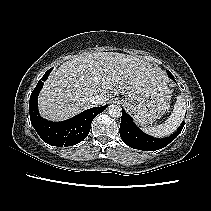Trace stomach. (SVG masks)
Wrapping results in <instances>:
<instances>
[{
	"instance_id": "0dacf381",
	"label": "stomach",
	"mask_w": 211,
	"mask_h": 211,
	"mask_svg": "<svg viewBox=\"0 0 211 211\" xmlns=\"http://www.w3.org/2000/svg\"><path fill=\"white\" fill-rule=\"evenodd\" d=\"M169 89L161 90L153 95H149L141 100H133L127 96L123 98L122 103L134 113V119L137 124L147 126L157 119H160L168 109L170 101Z\"/></svg>"
}]
</instances>
